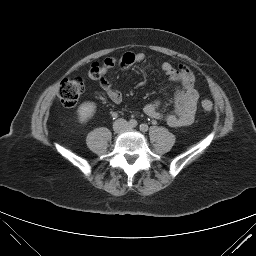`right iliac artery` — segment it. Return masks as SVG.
<instances>
[{
	"label": "right iliac artery",
	"instance_id": "obj_1",
	"mask_svg": "<svg viewBox=\"0 0 256 256\" xmlns=\"http://www.w3.org/2000/svg\"><path fill=\"white\" fill-rule=\"evenodd\" d=\"M128 125L130 127H136L137 126V121L135 119H131L129 122H128Z\"/></svg>",
	"mask_w": 256,
	"mask_h": 256
}]
</instances>
